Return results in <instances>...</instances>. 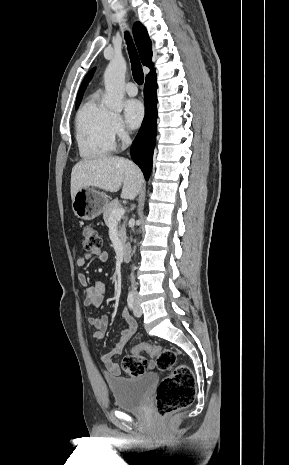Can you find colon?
<instances>
[{
  "instance_id": "colon-1",
  "label": "colon",
  "mask_w": 289,
  "mask_h": 465,
  "mask_svg": "<svg viewBox=\"0 0 289 465\" xmlns=\"http://www.w3.org/2000/svg\"><path fill=\"white\" fill-rule=\"evenodd\" d=\"M101 239L97 230L86 226L81 233V246L87 251L99 249ZM141 352L156 356L161 371L172 370L159 384L155 394V405L160 415H167L189 406L195 397L196 383L192 370L184 363L177 362L176 353L170 349L148 343L137 345L131 354L122 360V369L131 377H138L147 370V360Z\"/></svg>"
}]
</instances>
